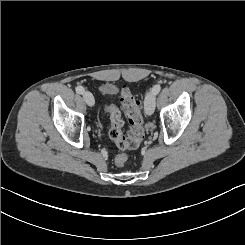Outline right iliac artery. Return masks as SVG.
Masks as SVG:
<instances>
[{"label":"right iliac artery","mask_w":245,"mask_h":245,"mask_svg":"<svg viewBox=\"0 0 245 245\" xmlns=\"http://www.w3.org/2000/svg\"><path fill=\"white\" fill-rule=\"evenodd\" d=\"M84 88L82 87V86H77L76 87V92L78 93V94H83L84 93Z\"/></svg>","instance_id":"obj_1"}]
</instances>
